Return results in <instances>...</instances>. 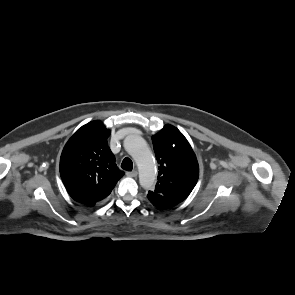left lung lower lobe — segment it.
<instances>
[{
    "label": "left lung lower lobe",
    "mask_w": 295,
    "mask_h": 295,
    "mask_svg": "<svg viewBox=\"0 0 295 295\" xmlns=\"http://www.w3.org/2000/svg\"><path fill=\"white\" fill-rule=\"evenodd\" d=\"M147 198L149 201L156 207L161 208V209H168L172 208L176 205L179 204V202L166 198L158 193H155L153 191H149Z\"/></svg>",
    "instance_id": "obj_1"
}]
</instances>
